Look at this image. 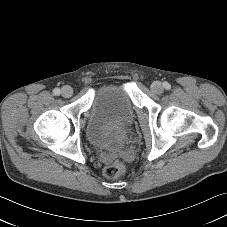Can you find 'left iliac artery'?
I'll use <instances>...</instances> for the list:
<instances>
[{
    "mask_svg": "<svg viewBox=\"0 0 227 227\" xmlns=\"http://www.w3.org/2000/svg\"><path fill=\"white\" fill-rule=\"evenodd\" d=\"M163 85L166 89H170V85L167 82H165Z\"/></svg>",
    "mask_w": 227,
    "mask_h": 227,
    "instance_id": "1",
    "label": "left iliac artery"
}]
</instances>
